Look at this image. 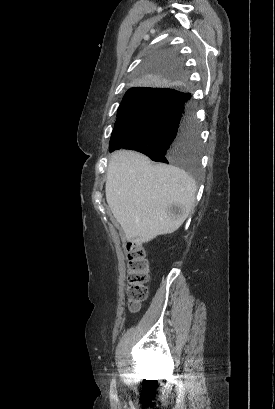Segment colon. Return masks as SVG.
<instances>
[{"instance_id":"colon-1","label":"colon","mask_w":275,"mask_h":409,"mask_svg":"<svg viewBox=\"0 0 275 409\" xmlns=\"http://www.w3.org/2000/svg\"><path fill=\"white\" fill-rule=\"evenodd\" d=\"M125 250L129 260L128 308L136 312L148 295L149 262L145 247L133 241L127 242Z\"/></svg>"}]
</instances>
